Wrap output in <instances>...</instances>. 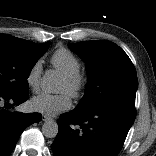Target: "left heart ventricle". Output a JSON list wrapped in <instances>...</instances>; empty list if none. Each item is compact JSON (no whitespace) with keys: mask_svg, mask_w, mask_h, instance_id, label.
<instances>
[{"mask_svg":"<svg viewBox=\"0 0 156 156\" xmlns=\"http://www.w3.org/2000/svg\"><path fill=\"white\" fill-rule=\"evenodd\" d=\"M68 90H69V87H68L67 83L65 82L64 79H62V81H61V83L59 85L58 91L68 93Z\"/></svg>","mask_w":156,"mask_h":156,"instance_id":"1","label":"left heart ventricle"}]
</instances>
